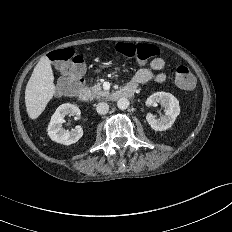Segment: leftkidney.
<instances>
[{
    "label": "left kidney",
    "mask_w": 232,
    "mask_h": 232,
    "mask_svg": "<svg viewBox=\"0 0 232 232\" xmlns=\"http://www.w3.org/2000/svg\"><path fill=\"white\" fill-rule=\"evenodd\" d=\"M157 103H160L165 108V115L156 119L152 114H147L146 119L152 129L163 131L170 128L179 115V101L175 96L166 92H156L146 100L147 106H152Z\"/></svg>",
    "instance_id": "5707ae66"
}]
</instances>
